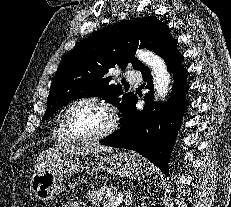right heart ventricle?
<instances>
[{
	"instance_id": "e07e8e85",
	"label": "right heart ventricle",
	"mask_w": 231,
	"mask_h": 207,
	"mask_svg": "<svg viewBox=\"0 0 231 207\" xmlns=\"http://www.w3.org/2000/svg\"><path fill=\"white\" fill-rule=\"evenodd\" d=\"M54 136L56 140L61 144H66L72 142V140L66 135L63 124H62V115L57 119L56 126L54 129Z\"/></svg>"
}]
</instances>
